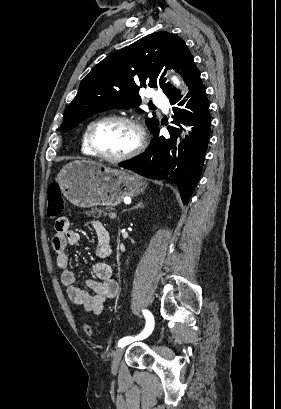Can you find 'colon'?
Returning <instances> with one entry per match:
<instances>
[{"label": "colon", "mask_w": 281, "mask_h": 409, "mask_svg": "<svg viewBox=\"0 0 281 409\" xmlns=\"http://www.w3.org/2000/svg\"><path fill=\"white\" fill-rule=\"evenodd\" d=\"M47 200H48V215L50 218L59 217L64 210V202L61 195L60 186L55 184L51 185L47 189ZM87 326V325H86ZM88 334L92 333L91 329L87 330Z\"/></svg>", "instance_id": "1"}]
</instances>
